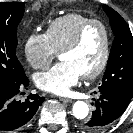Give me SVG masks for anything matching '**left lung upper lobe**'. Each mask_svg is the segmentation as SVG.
<instances>
[{"label": "left lung upper lobe", "instance_id": "left-lung-upper-lobe-1", "mask_svg": "<svg viewBox=\"0 0 133 133\" xmlns=\"http://www.w3.org/2000/svg\"><path fill=\"white\" fill-rule=\"evenodd\" d=\"M115 35L106 72L99 91H113L133 97V37L125 20L112 8L103 5Z\"/></svg>", "mask_w": 133, "mask_h": 133}]
</instances>
